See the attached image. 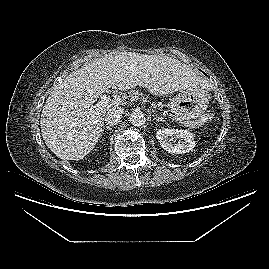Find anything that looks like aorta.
Wrapping results in <instances>:
<instances>
[{
  "label": "aorta",
  "instance_id": "762f6f07",
  "mask_svg": "<svg viewBox=\"0 0 269 269\" xmlns=\"http://www.w3.org/2000/svg\"><path fill=\"white\" fill-rule=\"evenodd\" d=\"M129 121L134 126H142L145 123L146 118L142 111L135 110L130 113Z\"/></svg>",
  "mask_w": 269,
  "mask_h": 269
}]
</instances>
